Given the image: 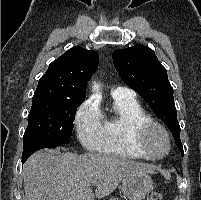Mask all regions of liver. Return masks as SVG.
Here are the masks:
<instances>
[{
    "instance_id": "obj_1",
    "label": "liver",
    "mask_w": 201,
    "mask_h": 200,
    "mask_svg": "<svg viewBox=\"0 0 201 200\" xmlns=\"http://www.w3.org/2000/svg\"><path fill=\"white\" fill-rule=\"evenodd\" d=\"M25 200H95L110 195L127 176L154 173L153 168L105 154L41 150L24 165ZM92 181L97 184L95 193Z\"/></svg>"
}]
</instances>
